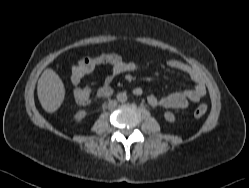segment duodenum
I'll return each instance as SVG.
<instances>
[{
    "mask_svg": "<svg viewBox=\"0 0 249 188\" xmlns=\"http://www.w3.org/2000/svg\"><path fill=\"white\" fill-rule=\"evenodd\" d=\"M136 95H140L141 91L140 90H136L134 92ZM112 94V89L110 87L104 86L101 87L98 91H97V96L100 98H106L109 97Z\"/></svg>",
    "mask_w": 249,
    "mask_h": 188,
    "instance_id": "obj_1",
    "label": "duodenum"
}]
</instances>
